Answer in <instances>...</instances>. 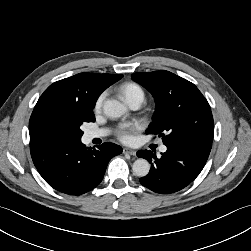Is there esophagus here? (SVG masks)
Returning <instances> with one entry per match:
<instances>
[{
	"label": "esophagus",
	"instance_id": "34e87169",
	"mask_svg": "<svg viewBox=\"0 0 251 251\" xmlns=\"http://www.w3.org/2000/svg\"><path fill=\"white\" fill-rule=\"evenodd\" d=\"M123 153L124 154H130V155H133V156L136 155V151L134 149H131V148H124Z\"/></svg>",
	"mask_w": 251,
	"mask_h": 251
}]
</instances>
